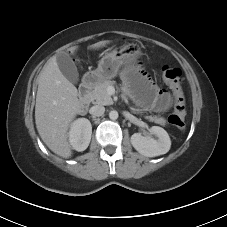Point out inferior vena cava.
I'll use <instances>...</instances> for the list:
<instances>
[{"label":"inferior vena cava","instance_id":"1","mask_svg":"<svg viewBox=\"0 0 227 227\" xmlns=\"http://www.w3.org/2000/svg\"><path fill=\"white\" fill-rule=\"evenodd\" d=\"M104 112H105V107L102 105H95L90 109V114L97 117L102 116Z\"/></svg>","mask_w":227,"mask_h":227}]
</instances>
